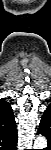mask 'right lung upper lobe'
<instances>
[{
    "label": "right lung upper lobe",
    "instance_id": "obj_1",
    "mask_svg": "<svg viewBox=\"0 0 51 150\" xmlns=\"http://www.w3.org/2000/svg\"><path fill=\"white\" fill-rule=\"evenodd\" d=\"M17 145L16 122L10 104L0 100V148L14 150Z\"/></svg>",
    "mask_w": 51,
    "mask_h": 150
}]
</instances>
